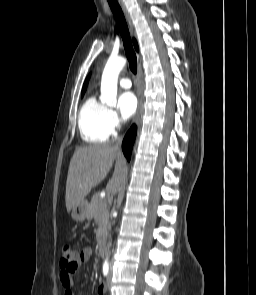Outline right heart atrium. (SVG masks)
<instances>
[{
  "label": "right heart atrium",
  "mask_w": 256,
  "mask_h": 295,
  "mask_svg": "<svg viewBox=\"0 0 256 295\" xmlns=\"http://www.w3.org/2000/svg\"><path fill=\"white\" fill-rule=\"evenodd\" d=\"M106 120L110 134H116L117 130L120 128V119L116 111L113 109H108Z\"/></svg>",
  "instance_id": "d8ad5b80"
}]
</instances>
